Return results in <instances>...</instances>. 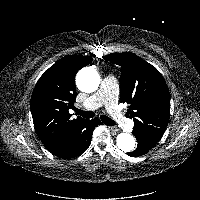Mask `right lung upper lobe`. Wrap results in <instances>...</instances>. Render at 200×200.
Masks as SVG:
<instances>
[{
	"mask_svg": "<svg viewBox=\"0 0 200 200\" xmlns=\"http://www.w3.org/2000/svg\"><path fill=\"white\" fill-rule=\"evenodd\" d=\"M92 62L91 57L67 55L38 80L30 102L35 131L44 146L54 152L62 148L85 120L71 118L76 99L75 75Z\"/></svg>",
	"mask_w": 200,
	"mask_h": 200,
	"instance_id": "right-lung-upper-lobe-1",
	"label": "right lung upper lobe"
}]
</instances>
